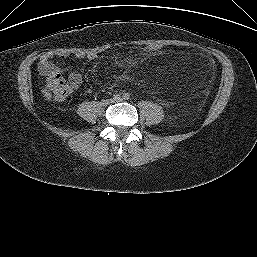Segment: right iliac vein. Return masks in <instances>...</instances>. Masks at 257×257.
Masks as SVG:
<instances>
[{"instance_id": "63e3f726", "label": "right iliac vein", "mask_w": 257, "mask_h": 257, "mask_svg": "<svg viewBox=\"0 0 257 257\" xmlns=\"http://www.w3.org/2000/svg\"><path fill=\"white\" fill-rule=\"evenodd\" d=\"M112 102H113V100H106L105 104L112 103Z\"/></svg>"}]
</instances>
